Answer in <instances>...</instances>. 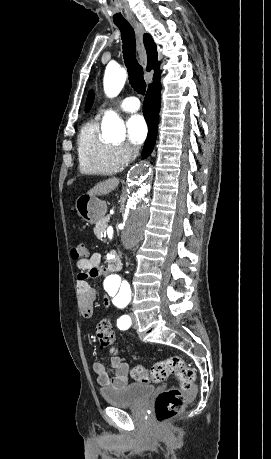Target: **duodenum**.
<instances>
[{
  "instance_id": "410a0bca",
  "label": "duodenum",
  "mask_w": 271,
  "mask_h": 459,
  "mask_svg": "<svg viewBox=\"0 0 271 459\" xmlns=\"http://www.w3.org/2000/svg\"><path fill=\"white\" fill-rule=\"evenodd\" d=\"M122 263L121 260L117 257H112L109 261V270L112 272H117L121 269Z\"/></svg>"
}]
</instances>
